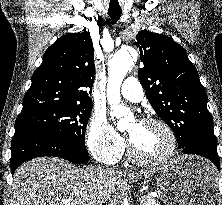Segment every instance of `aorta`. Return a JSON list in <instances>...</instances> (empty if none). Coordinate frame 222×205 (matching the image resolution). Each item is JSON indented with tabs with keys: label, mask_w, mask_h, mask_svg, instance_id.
<instances>
[{
	"label": "aorta",
	"mask_w": 222,
	"mask_h": 205,
	"mask_svg": "<svg viewBox=\"0 0 222 205\" xmlns=\"http://www.w3.org/2000/svg\"><path fill=\"white\" fill-rule=\"evenodd\" d=\"M132 66L133 58L128 50L116 52L108 62L107 100L110 105L111 116L116 117L119 130L126 129L129 122L133 120L130 109L120 104V87Z\"/></svg>",
	"instance_id": "obj_1"
}]
</instances>
